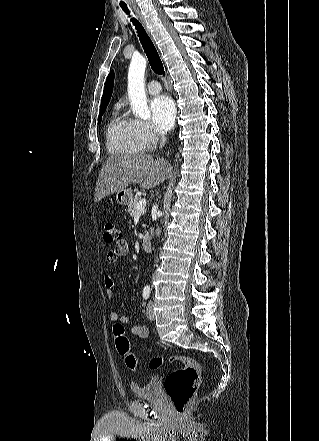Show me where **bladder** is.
I'll use <instances>...</instances> for the list:
<instances>
[{"label": "bladder", "instance_id": "bladder-1", "mask_svg": "<svg viewBox=\"0 0 319 441\" xmlns=\"http://www.w3.org/2000/svg\"><path fill=\"white\" fill-rule=\"evenodd\" d=\"M131 390L137 398H153L158 395V378L151 377L146 383L131 384Z\"/></svg>", "mask_w": 319, "mask_h": 441}]
</instances>
